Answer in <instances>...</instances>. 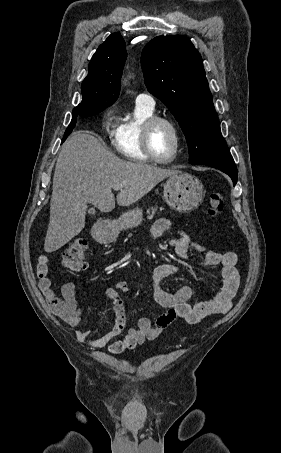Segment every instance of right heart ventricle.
I'll return each mask as SVG.
<instances>
[{"mask_svg": "<svg viewBox=\"0 0 281 453\" xmlns=\"http://www.w3.org/2000/svg\"><path fill=\"white\" fill-rule=\"evenodd\" d=\"M152 117H155L153 105L138 100L132 112L122 114L113 142L116 152L122 158L150 161L143 149L142 134L145 122Z\"/></svg>", "mask_w": 281, "mask_h": 453, "instance_id": "1", "label": "right heart ventricle"}]
</instances>
